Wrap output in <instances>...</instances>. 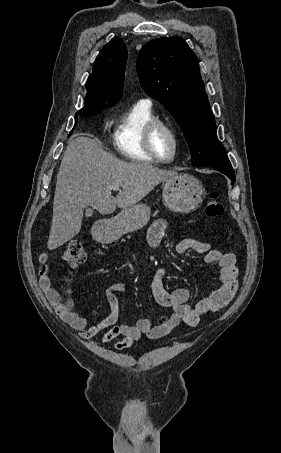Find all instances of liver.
Here are the masks:
<instances>
[{"label": "liver", "mask_w": 281, "mask_h": 453, "mask_svg": "<svg viewBox=\"0 0 281 453\" xmlns=\"http://www.w3.org/2000/svg\"><path fill=\"white\" fill-rule=\"evenodd\" d=\"M178 176L151 162H125L104 150L89 136H76L68 144L57 174L53 216L47 243L49 251L80 233L83 208L92 206L100 214L134 206L162 180ZM121 186L117 196L112 186Z\"/></svg>", "instance_id": "6515ba94"}]
</instances>
